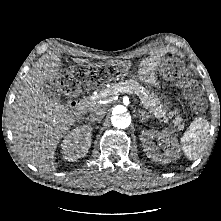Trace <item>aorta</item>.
Wrapping results in <instances>:
<instances>
[{"label":"aorta","instance_id":"1","mask_svg":"<svg viewBox=\"0 0 221 221\" xmlns=\"http://www.w3.org/2000/svg\"><path fill=\"white\" fill-rule=\"evenodd\" d=\"M111 123L117 129H125L131 124V116L121 106L113 109Z\"/></svg>","mask_w":221,"mask_h":221}]
</instances>
